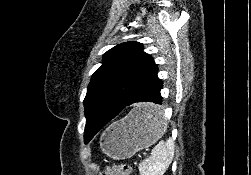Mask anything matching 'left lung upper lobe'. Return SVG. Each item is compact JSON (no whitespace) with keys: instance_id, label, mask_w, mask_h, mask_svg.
Returning a JSON list of instances; mask_svg holds the SVG:
<instances>
[{"instance_id":"5c2ea615","label":"left lung upper lobe","mask_w":251,"mask_h":175,"mask_svg":"<svg viewBox=\"0 0 251 175\" xmlns=\"http://www.w3.org/2000/svg\"><path fill=\"white\" fill-rule=\"evenodd\" d=\"M157 67L153 58L138 42L119 44L104 54L102 65L92 75L84 99L87 144L104 127L94 112L110 103L128 101L138 83Z\"/></svg>"}]
</instances>
